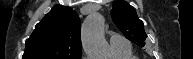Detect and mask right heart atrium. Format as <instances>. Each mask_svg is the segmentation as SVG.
Returning a JSON list of instances; mask_svg holds the SVG:
<instances>
[{"label": "right heart atrium", "instance_id": "d8ad5b80", "mask_svg": "<svg viewBox=\"0 0 193 59\" xmlns=\"http://www.w3.org/2000/svg\"><path fill=\"white\" fill-rule=\"evenodd\" d=\"M82 59H88V58H87V56H83V58H82Z\"/></svg>", "mask_w": 193, "mask_h": 59}]
</instances>
